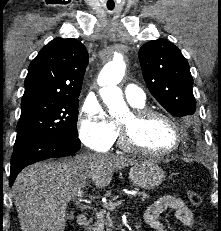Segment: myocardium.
I'll list each match as a JSON object with an SVG mask.
<instances>
[{"instance_id":"obj_1","label":"myocardium","mask_w":221,"mask_h":231,"mask_svg":"<svg viewBox=\"0 0 221 231\" xmlns=\"http://www.w3.org/2000/svg\"><path fill=\"white\" fill-rule=\"evenodd\" d=\"M155 117L166 120L173 127L175 131L176 134L175 145L167 151L156 152L146 149L139 143L137 139L139 128L147 120ZM119 138H120V145L122 146L123 149L127 151L150 155L157 158H162V157L170 156L180 148L182 144V130L178 122L171 115H169L164 111L148 108V107L134 108L129 113L128 122H119Z\"/></svg>"}]
</instances>
